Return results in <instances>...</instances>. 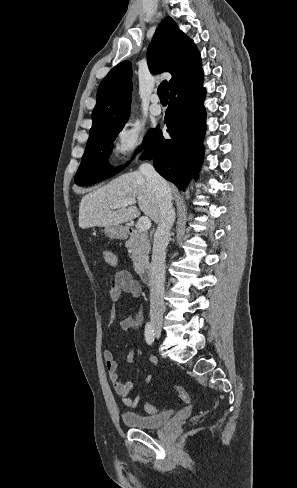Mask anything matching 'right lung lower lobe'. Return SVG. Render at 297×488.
Here are the masks:
<instances>
[{"label":"right lung lower lobe","instance_id":"obj_1","mask_svg":"<svg viewBox=\"0 0 297 488\" xmlns=\"http://www.w3.org/2000/svg\"><path fill=\"white\" fill-rule=\"evenodd\" d=\"M203 75L170 93L165 120L171 139L162 132L154 135L141 155L152 158L157 172L184 190L190 177L199 171L204 148L206 112L203 105Z\"/></svg>","mask_w":297,"mask_h":488}]
</instances>
